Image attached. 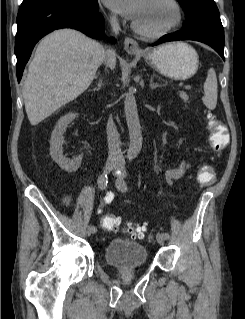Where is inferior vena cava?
Instances as JSON below:
<instances>
[{
  "mask_svg": "<svg viewBox=\"0 0 245 319\" xmlns=\"http://www.w3.org/2000/svg\"><path fill=\"white\" fill-rule=\"evenodd\" d=\"M110 25L112 27L113 33L115 35L118 34L120 27H119V23L116 16L113 15L110 17ZM105 54L110 59L116 58V53L113 49H107L105 51ZM105 63L107 65L106 61ZM106 132H107V141H108V148H109L108 160L111 162L124 163L123 153L121 151V142L119 138V133L111 117L109 118L107 122Z\"/></svg>",
  "mask_w": 245,
  "mask_h": 319,
  "instance_id": "602c4592",
  "label": "inferior vena cava"
}]
</instances>
